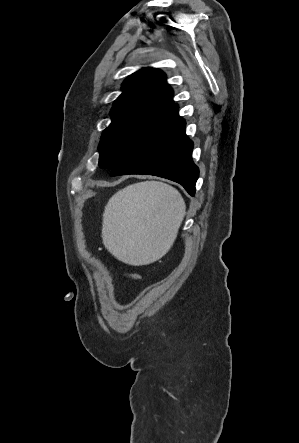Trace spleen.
<instances>
[{"label":"spleen","mask_w":299,"mask_h":443,"mask_svg":"<svg viewBox=\"0 0 299 443\" xmlns=\"http://www.w3.org/2000/svg\"><path fill=\"white\" fill-rule=\"evenodd\" d=\"M185 213V202L172 186L155 181L127 186L105 207L103 243L122 262H154L173 245Z\"/></svg>","instance_id":"obj_1"}]
</instances>
